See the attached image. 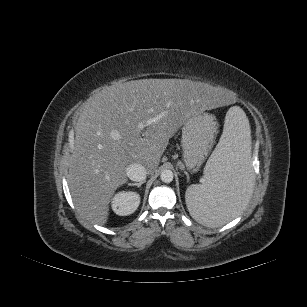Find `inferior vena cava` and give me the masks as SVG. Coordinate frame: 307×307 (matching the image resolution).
I'll return each mask as SVG.
<instances>
[{
  "mask_svg": "<svg viewBox=\"0 0 307 307\" xmlns=\"http://www.w3.org/2000/svg\"><path fill=\"white\" fill-rule=\"evenodd\" d=\"M126 174L132 181L141 182L145 180L147 171L143 165L133 163L126 168Z\"/></svg>",
  "mask_w": 307,
  "mask_h": 307,
  "instance_id": "602c4592",
  "label": "inferior vena cava"
}]
</instances>
